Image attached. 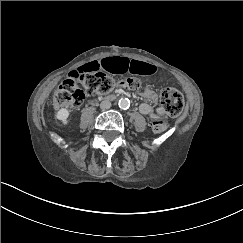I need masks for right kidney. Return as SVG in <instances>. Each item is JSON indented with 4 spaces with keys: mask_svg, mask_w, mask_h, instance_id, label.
<instances>
[{
    "mask_svg": "<svg viewBox=\"0 0 243 243\" xmlns=\"http://www.w3.org/2000/svg\"><path fill=\"white\" fill-rule=\"evenodd\" d=\"M68 116H69V112H68V110L65 109V108L60 109V110L57 112V114H56V118H57L58 120H61L63 124H67V123H68V121H67Z\"/></svg>",
    "mask_w": 243,
    "mask_h": 243,
    "instance_id": "ca27d5eb",
    "label": "right kidney"
}]
</instances>
